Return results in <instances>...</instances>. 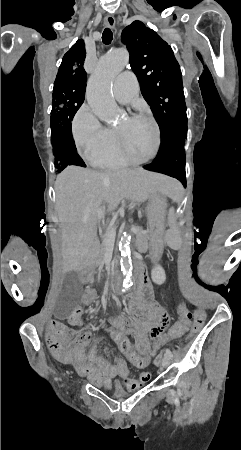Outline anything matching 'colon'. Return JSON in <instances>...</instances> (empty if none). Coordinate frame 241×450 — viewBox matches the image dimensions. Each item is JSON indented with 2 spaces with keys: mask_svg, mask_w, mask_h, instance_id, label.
<instances>
[{
  "mask_svg": "<svg viewBox=\"0 0 241 450\" xmlns=\"http://www.w3.org/2000/svg\"><path fill=\"white\" fill-rule=\"evenodd\" d=\"M176 311L180 314L179 321H173L172 324H169L167 327V331L162 332L160 337L165 339L168 336H171L173 333H176L177 330H184L185 326H188L190 320L193 316V326L192 333H196L205 323V316L201 309H198L195 314L189 312L187 306L184 303H181L177 306ZM82 311L79 308H74L70 313L69 317V325L74 327L76 323H80L82 321L81 316ZM192 314V315H191ZM109 339L114 340L117 347L123 348L124 353L129 357L128 364L130 366H139L141 371H146L148 369V365L150 364V359L148 357H133L134 353L132 352V348L129 345H125V341L122 336L117 335L116 332L111 331L108 334ZM160 341V340H159ZM157 344V343H156ZM155 347V346H154ZM163 351H158V354L154 357V362H160L161 357L163 356Z\"/></svg>",
  "mask_w": 241,
  "mask_h": 450,
  "instance_id": "1",
  "label": "colon"
}]
</instances>
